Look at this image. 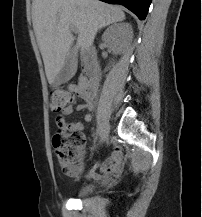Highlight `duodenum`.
<instances>
[{
	"label": "duodenum",
	"instance_id": "duodenum-1",
	"mask_svg": "<svg viewBox=\"0 0 202 217\" xmlns=\"http://www.w3.org/2000/svg\"><path fill=\"white\" fill-rule=\"evenodd\" d=\"M90 50L91 47L87 48L85 51V62L88 63V72L90 77L87 80H83V86L87 92L96 93L98 70L90 61Z\"/></svg>",
	"mask_w": 202,
	"mask_h": 217
}]
</instances>
